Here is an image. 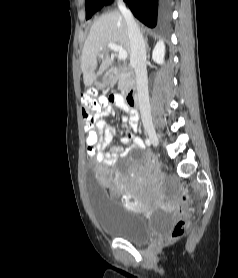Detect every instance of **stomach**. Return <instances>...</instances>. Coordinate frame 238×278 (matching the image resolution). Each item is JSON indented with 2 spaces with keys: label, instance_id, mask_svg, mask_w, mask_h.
<instances>
[{
  "label": "stomach",
  "instance_id": "1",
  "mask_svg": "<svg viewBox=\"0 0 238 278\" xmlns=\"http://www.w3.org/2000/svg\"><path fill=\"white\" fill-rule=\"evenodd\" d=\"M116 82V78L113 77L112 73L106 72L104 77H103V85L104 86H110Z\"/></svg>",
  "mask_w": 238,
  "mask_h": 278
}]
</instances>
